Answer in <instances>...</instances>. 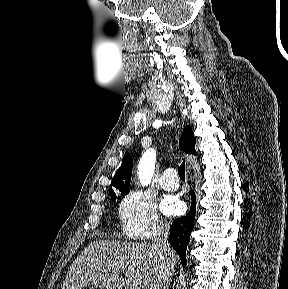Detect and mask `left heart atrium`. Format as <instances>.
Segmentation results:
<instances>
[{
    "instance_id": "obj_1",
    "label": "left heart atrium",
    "mask_w": 288,
    "mask_h": 289,
    "mask_svg": "<svg viewBox=\"0 0 288 289\" xmlns=\"http://www.w3.org/2000/svg\"><path fill=\"white\" fill-rule=\"evenodd\" d=\"M161 210L166 215H176L182 211V203L175 196H166L161 202Z\"/></svg>"
}]
</instances>
